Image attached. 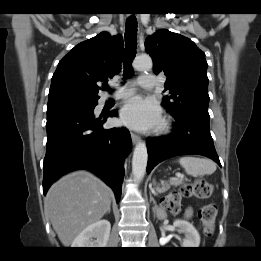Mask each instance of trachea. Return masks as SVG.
<instances>
[{
  "instance_id": "3493384b",
  "label": "trachea",
  "mask_w": 261,
  "mask_h": 261,
  "mask_svg": "<svg viewBox=\"0 0 261 261\" xmlns=\"http://www.w3.org/2000/svg\"><path fill=\"white\" fill-rule=\"evenodd\" d=\"M137 46V20L134 15L126 20L125 28V56H124V79L133 75L131 67L132 60L135 57ZM104 89L109 91V86H104Z\"/></svg>"
}]
</instances>
